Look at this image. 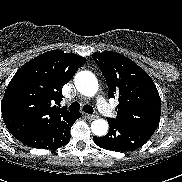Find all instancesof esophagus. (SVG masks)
Returning a JSON list of instances; mask_svg holds the SVG:
<instances>
[{
  "mask_svg": "<svg viewBox=\"0 0 182 182\" xmlns=\"http://www.w3.org/2000/svg\"><path fill=\"white\" fill-rule=\"evenodd\" d=\"M85 117L89 120H94L97 118V115L94 114H85Z\"/></svg>",
  "mask_w": 182,
  "mask_h": 182,
  "instance_id": "esophagus-1",
  "label": "esophagus"
}]
</instances>
